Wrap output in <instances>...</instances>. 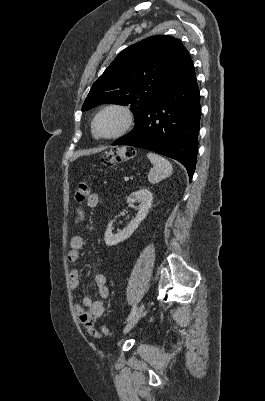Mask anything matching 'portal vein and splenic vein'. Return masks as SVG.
I'll use <instances>...</instances> for the list:
<instances>
[{
  "mask_svg": "<svg viewBox=\"0 0 265 401\" xmlns=\"http://www.w3.org/2000/svg\"><path fill=\"white\" fill-rule=\"evenodd\" d=\"M123 180H124V181H128V180H129V177H128V176H124V177H123Z\"/></svg>",
  "mask_w": 265,
  "mask_h": 401,
  "instance_id": "1",
  "label": "portal vein and splenic vein"
}]
</instances>
